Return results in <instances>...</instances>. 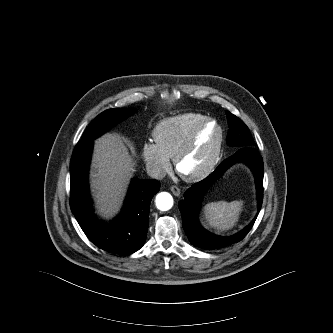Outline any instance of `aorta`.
<instances>
[{
    "instance_id": "obj_1",
    "label": "aorta",
    "mask_w": 333,
    "mask_h": 333,
    "mask_svg": "<svg viewBox=\"0 0 333 333\" xmlns=\"http://www.w3.org/2000/svg\"><path fill=\"white\" fill-rule=\"evenodd\" d=\"M156 206L161 211H168L173 206V197L168 192H161L156 196Z\"/></svg>"
}]
</instances>
